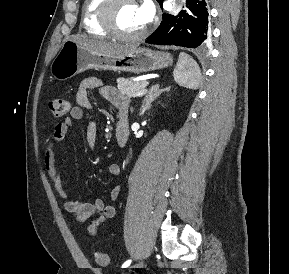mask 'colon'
Returning <instances> with one entry per match:
<instances>
[{"instance_id":"colon-1","label":"colon","mask_w":289,"mask_h":274,"mask_svg":"<svg viewBox=\"0 0 289 274\" xmlns=\"http://www.w3.org/2000/svg\"><path fill=\"white\" fill-rule=\"evenodd\" d=\"M48 106L51 113L56 118L65 116L70 109L69 102L63 98L51 99L48 103ZM94 259L95 262L100 266H107L109 264V257L104 251L96 250L94 252Z\"/></svg>"}]
</instances>
